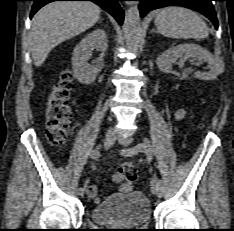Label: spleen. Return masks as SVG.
Segmentation results:
<instances>
[{
    "label": "spleen",
    "instance_id": "obj_1",
    "mask_svg": "<svg viewBox=\"0 0 234 231\" xmlns=\"http://www.w3.org/2000/svg\"><path fill=\"white\" fill-rule=\"evenodd\" d=\"M158 32L173 39H204L206 23L194 11L183 7H166L155 18Z\"/></svg>",
    "mask_w": 234,
    "mask_h": 231
}]
</instances>
